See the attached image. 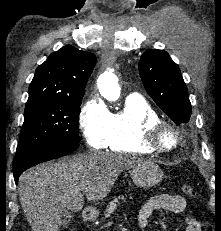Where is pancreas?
Here are the masks:
<instances>
[{"mask_svg":"<svg viewBox=\"0 0 221 231\" xmlns=\"http://www.w3.org/2000/svg\"><path fill=\"white\" fill-rule=\"evenodd\" d=\"M119 200H122L123 202H126V198L122 196L115 197L107 206L106 211L104 212L105 218L110 217L111 214L117 209V206L119 205Z\"/></svg>","mask_w":221,"mask_h":231,"instance_id":"1","label":"pancreas"}]
</instances>
